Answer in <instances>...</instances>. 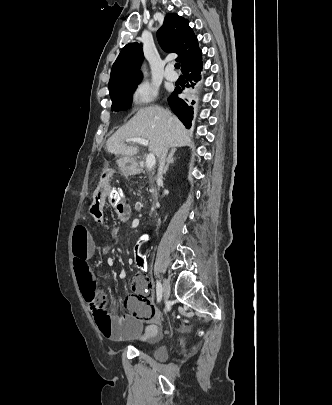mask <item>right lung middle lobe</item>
Masks as SVG:
<instances>
[{
	"mask_svg": "<svg viewBox=\"0 0 332 405\" xmlns=\"http://www.w3.org/2000/svg\"><path fill=\"white\" fill-rule=\"evenodd\" d=\"M139 82L140 79L129 80L117 84L114 88L109 90L112 100V111L126 110L131 106L132 93Z\"/></svg>",
	"mask_w": 332,
	"mask_h": 405,
	"instance_id": "obj_1",
	"label": "right lung middle lobe"
}]
</instances>
